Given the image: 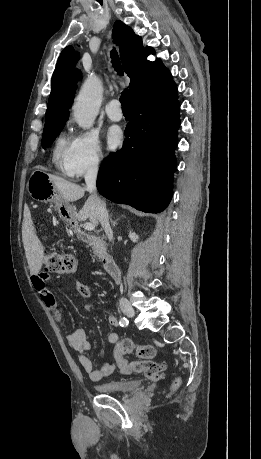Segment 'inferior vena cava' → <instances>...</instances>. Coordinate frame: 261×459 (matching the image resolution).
I'll use <instances>...</instances> for the list:
<instances>
[{"mask_svg":"<svg viewBox=\"0 0 261 459\" xmlns=\"http://www.w3.org/2000/svg\"><path fill=\"white\" fill-rule=\"evenodd\" d=\"M99 159L94 160L88 167L85 175V182L87 189L91 193V198L94 202L95 213L104 228L109 240L113 239L112 230L109 224L108 212L105 207V203L96 194V179L98 173ZM123 301V299L121 300Z\"/></svg>","mask_w":261,"mask_h":459,"instance_id":"1","label":"inferior vena cava"}]
</instances>
